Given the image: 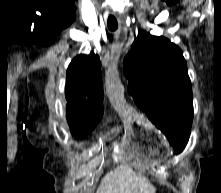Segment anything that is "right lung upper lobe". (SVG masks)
<instances>
[{"instance_id": "obj_1", "label": "right lung upper lobe", "mask_w": 221, "mask_h": 193, "mask_svg": "<svg viewBox=\"0 0 221 193\" xmlns=\"http://www.w3.org/2000/svg\"><path fill=\"white\" fill-rule=\"evenodd\" d=\"M99 56L79 55L67 69L65 94L67 120L72 131L103 115V84Z\"/></svg>"}]
</instances>
